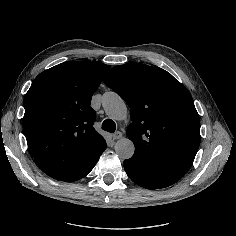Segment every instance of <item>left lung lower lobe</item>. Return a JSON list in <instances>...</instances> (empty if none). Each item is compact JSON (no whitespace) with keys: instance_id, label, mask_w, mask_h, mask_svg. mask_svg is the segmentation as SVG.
<instances>
[{"instance_id":"obj_1","label":"left lung lower lobe","mask_w":236,"mask_h":236,"mask_svg":"<svg viewBox=\"0 0 236 236\" xmlns=\"http://www.w3.org/2000/svg\"><path fill=\"white\" fill-rule=\"evenodd\" d=\"M123 165L132 181L147 189L168 187L180 179L149 160L135 154L130 159L125 160Z\"/></svg>"}]
</instances>
